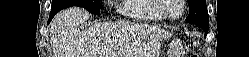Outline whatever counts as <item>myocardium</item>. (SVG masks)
<instances>
[{
	"mask_svg": "<svg viewBox=\"0 0 249 57\" xmlns=\"http://www.w3.org/2000/svg\"><path fill=\"white\" fill-rule=\"evenodd\" d=\"M179 4H180V12L177 15L171 16L167 13V9L169 7V1L168 0H158V10L160 11V13L162 14V16L165 19H169V20H177L179 18H181L185 12V0H178Z\"/></svg>",
	"mask_w": 249,
	"mask_h": 57,
	"instance_id": "1",
	"label": "myocardium"
}]
</instances>
